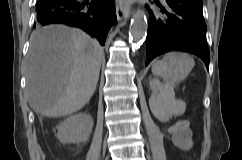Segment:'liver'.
<instances>
[{
  "instance_id": "obj_1",
  "label": "liver",
  "mask_w": 242,
  "mask_h": 160,
  "mask_svg": "<svg viewBox=\"0 0 242 160\" xmlns=\"http://www.w3.org/2000/svg\"><path fill=\"white\" fill-rule=\"evenodd\" d=\"M103 47L85 32L50 26L30 37L26 93L30 107L46 117H64L84 107L99 79Z\"/></svg>"
}]
</instances>
